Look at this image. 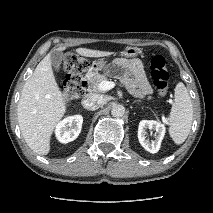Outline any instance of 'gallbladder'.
<instances>
[{
    "mask_svg": "<svg viewBox=\"0 0 213 213\" xmlns=\"http://www.w3.org/2000/svg\"><path fill=\"white\" fill-rule=\"evenodd\" d=\"M62 60H63V53L61 51L53 50L50 52L51 65L53 66L55 71L59 72Z\"/></svg>",
    "mask_w": 213,
    "mask_h": 213,
    "instance_id": "gallbladder-1",
    "label": "gallbladder"
}]
</instances>
